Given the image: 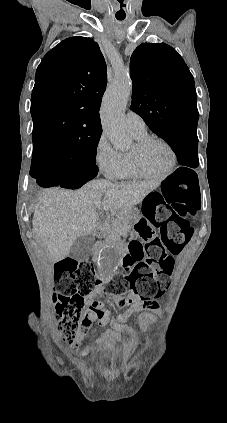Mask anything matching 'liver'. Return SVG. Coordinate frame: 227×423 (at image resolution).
<instances>
[{"label":"liver","instance_id":"liver-1","mask_svg":"<svg viewBox=\"0 0 227 423\" xmlns=\"http://www.w3.org/2000/svg\"><path fill=\"white\" fill-rule=\"evenodd\" d=\"M157 186L156 182L112 184L92 180L76 192L44 190L33 213V231L45 243L52 261H60L69 255L77 237L107 231L98 223L97 210L102 208L114 215L124 208H133Z\"/></svg>","mask_w":227,"mask_h":423}]
</instances>
